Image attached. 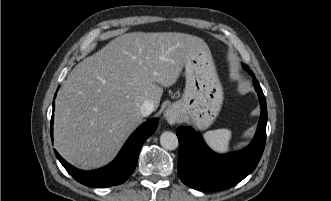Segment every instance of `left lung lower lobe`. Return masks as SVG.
I'll list each match as a JSON object with an SVG mask.
<instances>
[{
    "instance_id": "left-lung-lower-lobe-1",
    "label": "left lung lower lobe",
    "mask_w": 331,
    "mask_h": 201,
    "mask_svg": "<svg viewBox=\"0 0 331 201\" xmlns=\"http://www.w3.org/2000/svg\"><path fill=\"white\" fill-rule=\"evenodd\" d=\"M243 67L249 69L246 65ZM253 83L260 100L261 116L256 135L246 149L219 155L207 147L193 128H178V174L185 185L200 191L224 190L238 184L256 168L266 141L267 109L265 96L255 78Z\"/></svg>"
}]
</instances>
